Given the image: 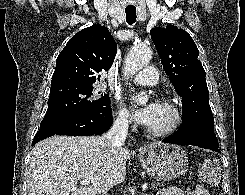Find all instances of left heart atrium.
I'll return each instance as SVG.
<instances>
[{
    "label": "left heart atrium",
    "instance_id": "39dd6f15",
    "mask_svg": "<svg viewBox=\"0 0 245 195\" xmlns=\"http://www.w3.org/2000/svg\"><path fill=\"white\" fill-rule=\"evenodd\" d=\"M156 107L157 103L148 102L144 106L133 108L136 121L147 126L155 113Z\"/></svg>",
    "mask_w": 245,
    "mask_h": 195
}]
</instances>
